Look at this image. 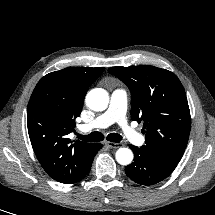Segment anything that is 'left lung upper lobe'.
Instances as JSON below:
<instances>
[{
    "label": "left lung upper lobe",
    "instance_id": "obj_1",
    "mask_svg": "<svg viewBox=\"0 0 215 215\" xmlns=\"http://www.w3.org/2000/svg\"><path fill=\"white\" fill-rule=\"evenodd\" d=\"M108 71L131 91V119L143 121L146 129L143 146L158 159L176 167L191 128L186 93L178 77L168 70L147 65L111 67Z\"/></svg>",
    "mask_w": 215,
    "mask_h": 215
}]
</instances>
